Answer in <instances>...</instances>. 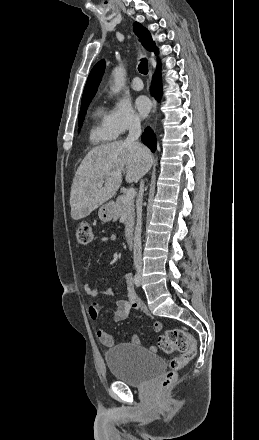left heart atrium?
Masks as SVG:
<instances>
[{
    "label": "left heart atrium",
    "instance_id": "39dd6f15",
    "mask_svg": "<svg viewBox=\"0 0 259 440\" xmlns=\"http://www.w3.org/2000/svg\"><path fill=\"white\" fill-rule=\"evenodd\" d=\"M135 105H136L138 112L142 116L147 115L151 109L150 100L146 96H143V95L136 98Z\"/></svg>",
    "mask_w": 259,
    "mask_h": 440
}]
</instances>
